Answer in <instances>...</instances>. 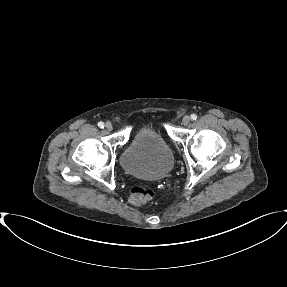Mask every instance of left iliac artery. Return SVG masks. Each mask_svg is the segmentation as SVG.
<instances>
[{
  "instance_id": "left-iliac-artery-1",
  "label": "left iliac artery",
  "mask_w": 287,
  "mask_h": 287,
  "mask_svg": "<svg viewBox=\"0 0 287 287\" xmlns=\"http://www.w3.org/2000/svg\"><path fill=\"white\" fill-rule=\"evenodd\" d=\"M191 119H192V120H196V119H197V115H196V114H192V115H191Z\"/></svg>"
}]
</instances>
